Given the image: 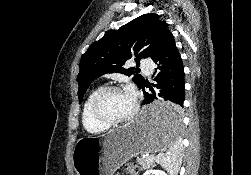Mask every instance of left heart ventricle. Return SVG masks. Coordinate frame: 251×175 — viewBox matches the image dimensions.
Masks as SVG:
<instances>
[{
	"mask_svg": "<svg viewBox=\"0 0 251 175\" xmlns=\"http://www.w3.org/2000/svg\"><path fill=\"white\" fill-rule=\"evenodd\" d=\"M101 109L107 117L116 120L129 114L133 103L124 91H112L104 97Z\"/></svg>",
	"mask_w": 251,
	"mask_h": 175,
	"instance_id": "b2bd125f",
	"label": "left heart ventricle"
}]
</instances>
